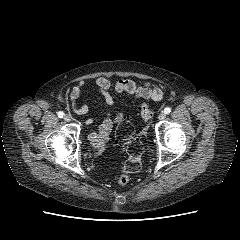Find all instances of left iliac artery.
I'll return each instance as SVG.
<instances>
[{
  "label": "left iliac artery",
  "instance_id": "44dca946",
  "mask_svg": "<svg viewBox=\"0 0 240 240\" xmlns=\"http://www.w3.org/2000/svg\"><path fill=\"white\" fill-rule=\"evenodd\" d=\"M171 112V108L170 107H166L165 109H164V113L165 114H169Z\"/></svg>",
  "mask_w": 240,
  "mask_h": 240
}]
</instances>
